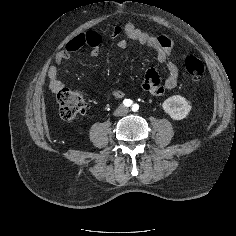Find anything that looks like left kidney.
I'll list each match as a JSON object with an SVG mask.
<instances>
[{
  "mask_svg": "<svg viewBox=\"0 0 236 236\" xmlns=\"http://www.w3.org/2000/svg\"><path fill=\"white\" fill-rule=\"evenodd\" d=\"M163 110L174 120H182L191 111V102L180 95L166 99L162 104Z\"/></svg>",
  "mask_w": 236,
  "mask_h": 236,
  "instance_id": "5707ae66",
  "label": "left kidney"
}]
</instances>
